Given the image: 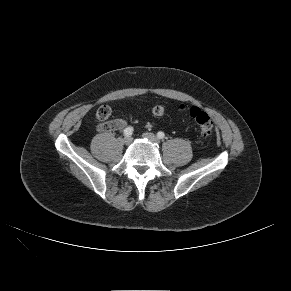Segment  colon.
Returning a JSON list of instances; mask_svg holds the SVG:
<instances>
[{
	"mask_svg": "<svg viewBox=\"0 0 291 291\" xmlns=\"http://www.w3.org/2000/svg\"><path fill=\"white\" fill-rule=\"evenodd\" d=\"M165 112V107L161 104L154 106L152 113L155 117H161ZM111 115V108L109 106H101L96 113V117L100 122L98 129L101 131H109L110 123L108 118ZM189 115L196 123L200 134L203 138L207 139L213 133L214 125L211 117L198 107H191Z\"/></svg>",
	"mask_w": 291,
	"mask_h": 291,
	"instance_id": "5ec220e1",
	"label": "colon"
}]
</instances>
